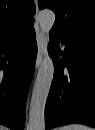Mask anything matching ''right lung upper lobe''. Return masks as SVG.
Instances as JSON below:
<instances>
[{
  "mask_svg": "<svg viewBox=\"0 0 95 130\" xmlns=\"http://www.w3.org/2000/svg\"><path fill=\"white\" fill-rule=\"evenodd\" d=\"M32 0H0V44L13 41L34 28Z\"/></svg>",
  "mask_w": 95,
  "mask_h": 130,
  "instance_id": "obj_1",
  "label": "right lung upper lobe"
}]
</instances>
